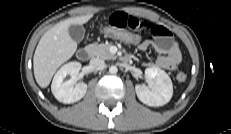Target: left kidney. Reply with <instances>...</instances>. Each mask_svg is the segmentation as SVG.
I'll list each match as a JSON object with an SVG mask.
<instances>
[{"label":"left kidney","instance_id":"obj_1","mask_svg":"<svg viewBox=\"0 0 231 134\" xmlns=\"http://www.w3.org/2000/svg\"><path fill=\"white\" fill-rule=\"evenodd\" d=\"M145 75L152 82V87L136 85L138 99L153 107L167 104L173 95L172 81L167 73L158 67H150L145 70Z\"/></svg>","mask_w":231,"mask_h":134}]
</instances>
